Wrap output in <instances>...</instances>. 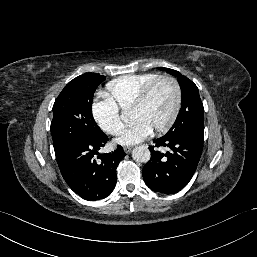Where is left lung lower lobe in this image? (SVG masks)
Listing matches in <instances>:
<instances>
[{
    "label": "left lung lower lobe",
    "mask_w": 257,
    "mask_h": 257,
    "mask_svg": "<svg viewBox=\"0 0 257 257\" xmlns=\"http://www.w3.org/2000/svg\"><path fill=\"white\" fill-rule=\"evenodd\" d=\"M153 142L156 147H169L172 151L164 154L150 146L151 158L143 167V179L155 192L176 193L189 183L196 171L202 154L203 136H163Z\"/></svg>",
    "instance_id": "1"
}]
</instances>
